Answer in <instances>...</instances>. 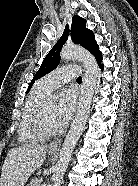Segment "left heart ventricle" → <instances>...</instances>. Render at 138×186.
I'll return each mask as SVG.
<instances>
[{
	"label": "left heart ventricle",
	"instance_id": "left-heart-ventricle-1",
	"mask_svg": "<svg viewBox=\"0 0 138 186\" xmlns=\"http://www.w3.org/2000/svg\"><path fill=\"white\" fill-rule=\"evenodd\" d=\"M57 102L48 101L45 111V125L51 131H56L62 126L57 117Z\"/></svg>",
	"mask_w": 138,
	"mask_h": 186
}]
</instances>
